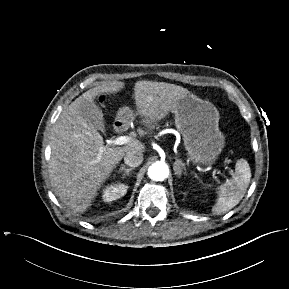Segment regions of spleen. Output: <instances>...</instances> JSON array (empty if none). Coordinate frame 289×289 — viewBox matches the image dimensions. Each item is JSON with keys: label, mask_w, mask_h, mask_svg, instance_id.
Here are the masks:
<instances>
[{"label": "spleen", "mask_w": 289, "mask_h": 289, "mask_svg": "<svg viewBox=\"0 0 289 289\" xmlns=\"http://www.w3.org/2000/svg\"><path fill=\"white\" fill-rule=\"evenodd\" d=\"M250 179L251 170L248 162L244 159L238 160L232 178L217 188L218 198L212 211L215 214H222L235 207L244 197Z\"/></svg>", "instance_id": "3e777b00"}]
</instances>
